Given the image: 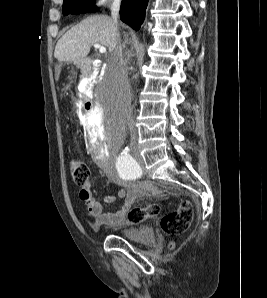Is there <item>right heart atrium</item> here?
Wrapping results in <instances>:
<instances>
[{
	"label": "right heart atrium",
	"instance_id": "obj_1",
	"mask_svg": "<svg viewBox=\"0 0 267 298\" xmlns=\"http://www.w3.org/2000/svg\"><path fill=\"white\" fill-rule=\"evenodd\" d=\"M119 0H95V6L96 8L100 9L105 7L109 3H116Z\"/></svg>",
	"mask_w": 267,
	"mask_h": 298
}]
</instances>
